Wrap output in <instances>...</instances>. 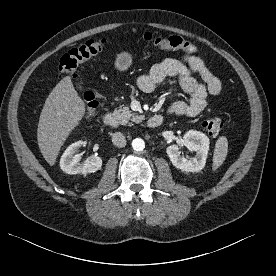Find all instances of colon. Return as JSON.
I'll list each match as a JSON object with an SVG mask.
<instances>
[{
  "label": "colon",
  "mask_w": 276,
  "mask_h": 276,
  "mask_svg": "<svg viewBox=\"0 0 276 276\" xmlns=\"http://www.w3.org/2000/svg\"><path fill=\"white\" fill-rule=\"evenodd\" d=\"M140 38L146 43L164 51H181L190 55H195L199 52L195 45L177 35L156 36L152 32H144L140 35ZM105 46L106 40H89L83 45L69 50L59 61L60 73L76 77L75 72L79 64L101 54ZM81 96L85 104L86 113L91 115L97 107L94 93L90 90L83 89ZM226 125L227 123L217 116L209 117L202 123L206 132L213 137L218 136Z\"/></svg>",
  "instance_id": "obj_1"
}]
</instances>
